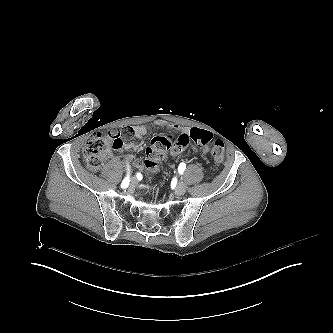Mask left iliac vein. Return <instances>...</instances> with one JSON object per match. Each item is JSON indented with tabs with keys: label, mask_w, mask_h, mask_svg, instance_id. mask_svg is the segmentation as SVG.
I'll return each instance as SVG.
<instances>
[{
	"label": "left iliac vein",
	"mask_w": 333,
	"mask_h": 333,
	"mask_svg": "<svg viewBox=\"0 0 333 333\" xmlns=\"http://www.w3.org/2000/svg\"><path fill=\"white\" fill-rule=\"evenodd\" d=\"M186 191V185L183 182H180L177 187L175 188V194L183 195Z\"/></svg>",
	"instance_id": "1"
}]
</instances>
